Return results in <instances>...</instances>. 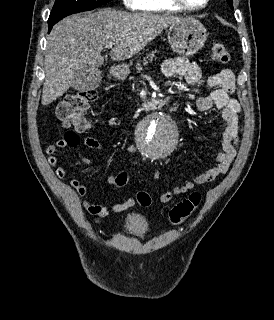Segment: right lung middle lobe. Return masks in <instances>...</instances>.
Returning <instances> with one entry per match:
<instances>
[{
    "instance_id": "right-lung-middle-lobe-1",
    "label": "right lung middle lobe",
    "mask_w": 274,
    "mask_h": 320,
    "mask_svg": "<svg viewBox=\"0 0 274 320\" xmlns=\"http://www.w3.org/2000/svg\"><path fill=\"white\" fill-rule=\"evenodd\" d=\"M112 0H56L48 24H55L64 17L83 11L93 10Z\"/></svg>"
}]
</instances>
